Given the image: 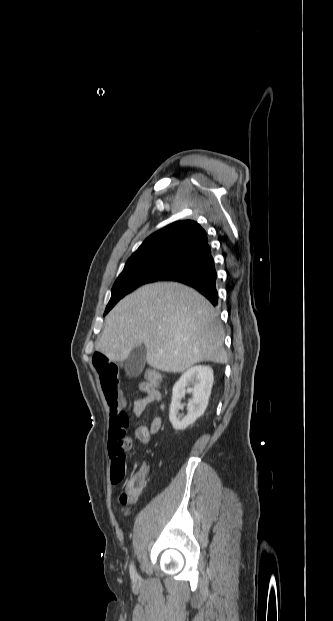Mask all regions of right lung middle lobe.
<instances>
[{"mask_svg":"<svg viewBox=\"0 0 333 621\" xmlns=\"http://www.w3.org/2000/svg\"><path fill=\"white\" fill-rule=\"evenodd\" d=\"M184 260L183 258L166 257L126 263L124 270L114 283L111 299L104 314H107L121 298L137 287L162 280L167 274L178 268Z\"/></svg>","mask_w":333,"mask_h":621,"instance_id":"obj_1","label":"right lung middle lobe"}]
</instances>
